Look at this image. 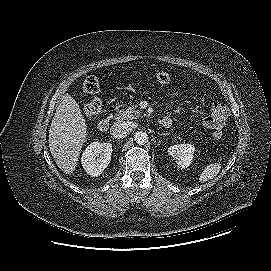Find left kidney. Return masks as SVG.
I'll list each match as a JSON object with an SVG mask.
<instances>
[{
    "instance_id": "1",
    "label": "left kidney",
    "mask_w": 271,
    "mask_h": 271,
    "mask_svg": "<svg viewBox=\"0 0 271 271\" xmlns=\"http://www.w3.org/2000/svg\"><path fill=\"white\" fill-rule=\"evenodd\" d=\"M195 147L191 144H177L168 148V154L173 157L177 165L181 168H187L193 160Z\"/></svg>"
}]
</instances>
